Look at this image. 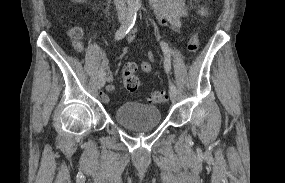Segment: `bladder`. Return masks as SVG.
Returning <instances> with one entry per match:
<instances>
[{
  "label": "bladder",
  "instance_id": "1",
  "mask_svg": "<svg viewBox=\"0 0 285 183\" xmlns=\"http://www.w3.org/2000/svg\"><path fill=\"white\" fill-rule=\"evenodd\" d=\"M115 118L128 127H154L161 123V112L156 106L127 102L115 110Z\"/></svg>",
  "mask_w": 285,
  "mask_h": 183
}]
</instances>
